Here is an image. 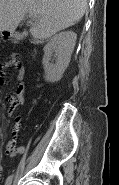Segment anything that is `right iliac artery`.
<instances>
[{
	"mask_svg": "<svg viewBox=\"0 0 119 185\" xmlns=\"http://www.w3.org/2000/svg\"><path fill=\"white\" fill-rule=\"evenodd\" d=\"M13 175L9 176L5 182V185H11Z\"/></svg>",
	"mask_w": 119,
	"mask_h": 185,
	"instance_id": "82829eb1",
	"label": "right iliac artery"
}]
</instances>
